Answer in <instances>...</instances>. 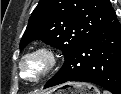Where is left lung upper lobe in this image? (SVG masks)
I'll return each instance as SVG.
<instances>
[{"instance_id":"left-lung-upper-lobe-1","label":"left lung upper lobe","mask_w":121,"mask_h":94,"mask_svg":"<svg viewBox=\"0 0 121 94\" xmlns=\"http://www.w3.org/2000/svg\"><path fill=\"white\" fill-rule=\"evenodd\" d=\"M116 19L109 0H40L20 42L41 39L65 59L89 37Z\"/></svg>"}]
</instances>
